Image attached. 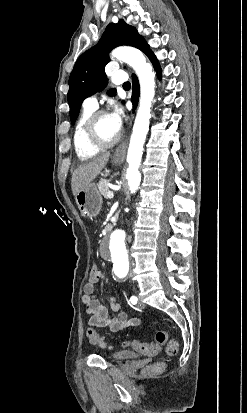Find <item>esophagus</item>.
I'll return each mask as SVG.
<instances>
[{
	"label": "esophagus",
	"instance_id": "obj_1",
	"mask_svg": "<svg viewBox=\"0 0 247 413\" xmlns=\"http://www.w3.org/2000/svg\"><path fill=\"white\" fill-rule=\"evenodd\" d=\"M128 146V138H126L120 145L115 148L114 155L120 160H124Z\"/></svg>",
	"mask_w": 247,
	"mask_h": 413
}]
</instances>
